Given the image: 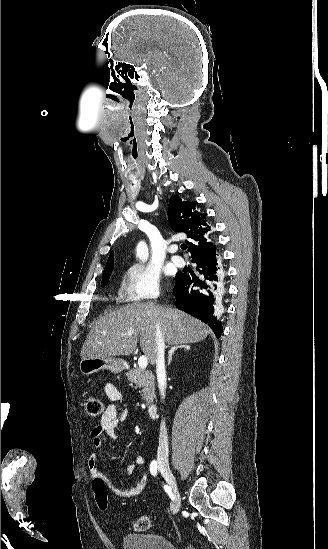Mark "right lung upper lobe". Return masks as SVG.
Here are the masks:
<instances>
[{
	"mask_svg": "<svg viewBox=\"0 0 328 549\" xmlns=\"http://www.w3.org/2000/svg\"><path fill=\"white\" fill-rule=\"evenodd\" d=\"M197 202L183 201L179 196L170 198L168 205V220L174 231L183 232L187 238L194 241L189 242L188 251L194 259L201 255L216 252V246L212 242V228L207 222V214L196 210ZM114 265V252L112 251L104 273L108 272ZM104 275V274H103Z\"/></svg>",
	"mask_w": 328,
	"mask_h": 549,
	"instance_id": "1",
	"label": "right lung upper lobe"
}]
</instances>
